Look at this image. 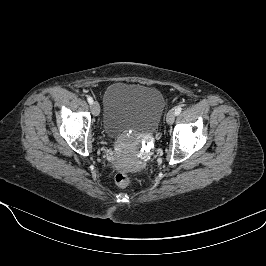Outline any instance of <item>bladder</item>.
<instances>
[{
  "label": "bladder",
  "instance_id": "obj_1",
  "mask_svg": "<svg viewBox=\"0 0 266 266\" xmlns=\"http://www.w3.org/2000/svg\"><path fill=\"white\" fill-rule=\"evenodd\" d=\"M103 104V130L110 138L128 130L155 132L165 110V99L158 89L122 82L107 88Z\"/></svg>",
  "mask_w": 266,
  "mask_h": 266
}]
</instances>
